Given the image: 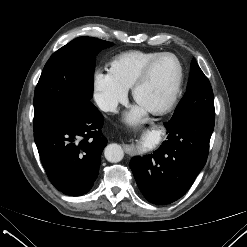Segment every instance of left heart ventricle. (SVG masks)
Here are the masks:
<instances>
[{"mask_svg": "<svg viewBox=\"0 0 247 247\" xmlns=\"http://www.w3.org/2000/svg\"><path fill=\"white\" fill-rule=\"evenodd\" d=\"M177 75L178 66L172 57L159 60L138 91L139 105L150 108L163 104L173 91Z\"/></svg>", "mask_w": 247, "mask_h": 247, "instance_id": "1", "label": "left heart ventricle"}]
</instances>
